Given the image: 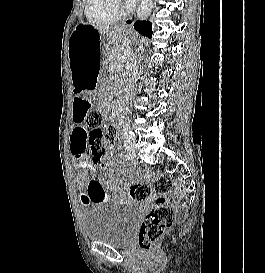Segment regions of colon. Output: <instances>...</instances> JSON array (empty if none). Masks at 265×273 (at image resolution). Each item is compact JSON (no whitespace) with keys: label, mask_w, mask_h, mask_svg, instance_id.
<instances>
[{"label":"colon","mask_w":265,"mask_h":273,"mask_svg":"<svg viewBox=\"0 0 265 273\" xmlns=\"http://www.w3.org/2000/svg\"><path fill=\"white\" fill-rule=\"evenodd\" d=\"M86 121L92 128L88 144L93 160L97 165L110 170L104 144L113 142L115 127L112 123H107L104 130L101 129L104 119L98 109L91 110ZM129 194L138 202L146 201L156 194L153 206L142 221L137 237L140 248L148 250L173 226L178 209L187 202L186 196L182 188L165 173L150 174L147 181L132 184Z\"/></svg>","instance_id":"obj_1"}]
</instances>
